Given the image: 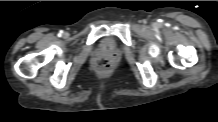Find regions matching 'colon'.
<instances>
[{
  "mask_svg": "<svg viewBox=\"0 0 218 122\" xmlns=\"http://www.w3.org/2000/svg\"><path fill=\"white\" fill-rule=\"evenodd\" d=\"M114 62L111 58H100L96 63V69L101 73L109 72L113 68Z\"/></svg>",
  "mask_w": 218,
  "mask_h": 122,
  "instance_id": "obj_1",
  "label": "colon"
}]
</instances>
